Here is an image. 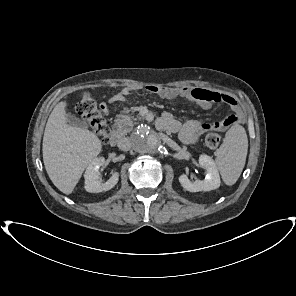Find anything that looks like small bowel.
<instances>
[{"mask_svg": "<svg viewBox=\"0 0 296 296\" xmlns=\"http://www.w3.org/2000/svg\"><path fill=\"white\" fill-rule=\"evenodd\" d=\"M132 90L133 89L129 87L123 88L120 92L111 96L109 102L124 101ZM147 90L165 99L184 98L195 103L200 109H208L213 104L217 103L226 104L231 108L233 111L232 115L214 122H202L196 119H189L185 123H180L170 113H164L158 121V126L170 132H178L181 141L186 144L197 142L200 136L207 131H224L232 125L241 123L244 120V113L238 101L228 94L196 87L159 88L151 85L147 87ZM101 106L103 112L107 113L109 110L108 103L104 102Z\"/></svg>", "mask_w": 296, "mask_h": 296, "instance_id": "small-bowel-1", "label": "small bowel"}]
</instances>
